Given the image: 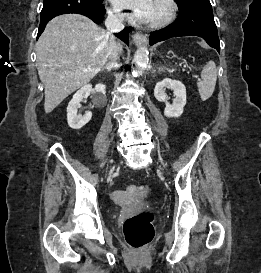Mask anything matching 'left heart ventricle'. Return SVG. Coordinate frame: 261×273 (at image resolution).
<instances>
[{"label": "left heart ventricle", "instance_id": "1", "mask_svg": "<svg viewBox=\"0 0 261 273\" xmlns=\"http://www.w3.org/2000/svg\"><path fill=\"white\" fill-rule=\"evenodd\" d=\"M165 12V8L164 6L158 2V0L155 1V5H154V11H153V15L151 17V20H157L159 18H161L163 16Z\"/></svg>", "mask_w": 261, "mask_h": 273}]
</instances>
